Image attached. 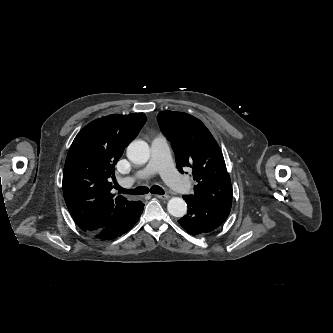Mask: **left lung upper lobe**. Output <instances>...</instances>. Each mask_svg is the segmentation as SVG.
<instances>
[{
  "label": "left lung upper lobe",
  "mask_w": 333,
  "mask_h": 333,
  "mask_svg": "<svg viewBox=\"0 0 333 333\" xmlns=\"http://www.w3.org/2000/svg\"><path fill=\"white\" fill-rule=\"evenodd\" d=\"M157 119L171 142L179 172L192 169L197 182L192 196L205 204L231 209V179L221 149L207 127L184 112L162 111Z\"/></svg>",
  "instance_id": "obj_1"
}]
</instances>
